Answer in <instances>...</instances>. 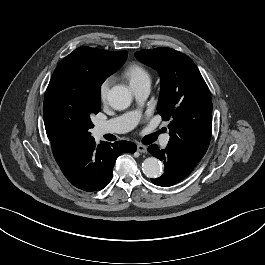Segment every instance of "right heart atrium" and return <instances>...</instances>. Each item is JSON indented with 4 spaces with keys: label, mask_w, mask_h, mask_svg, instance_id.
Listing matches in <instances>:
<instances>
[{
    "label": "right heart atrium",
    "mask_w": 265,
    "mask_h": 265,
    "mask_svg": "<svg viewBox=\"0 0 265 265\" xmlns=\"http://www.w3.org/2000/svg\"><path fill=\"white\" fill-rule=\"evenodd\" d=\"M111 83H112V80L110 78H107L100 84L99 96L102 101L106 100Z\"/></svg>",
    "instance_id": "obj_1"
}]
</instances>
